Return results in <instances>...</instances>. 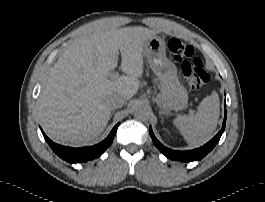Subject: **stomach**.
Returning <instances> with one entry per match:
<instances>
[{
  "instance_id": "1",
  "label": "stomach",
  "mask_w": 265,
  "mask_h": 202,
  "mask_svg": "<svg viewBox=\"0 0 265 202\" xmlns=\"http://www.w3.org/2000/svg\"><path fill=\"white\" fill-rule=\"evenodd\" d=\"M143 54L159 80L162 113L184 109L188 93L178 80L175 64L166 57L164 39L156 35L151 37L143 46Z\"/></svg>"
}]
</instances>
